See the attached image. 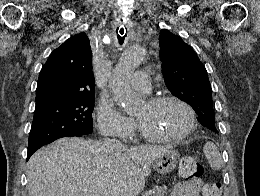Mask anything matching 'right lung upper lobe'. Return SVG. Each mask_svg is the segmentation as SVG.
Instances as JSON below:
<instances>
[{"label": "right lung upper lobe", "instance_id": "right-lung-upper-lobe-1", "mask_svg": "<svg viewBox=\"0 0 260 196\" xmlns=\"http://www.w3.org/2000/svg\"><path fill=\"white\" fill-rule=\"evenodd\" d=\"M91 47L82 32L55 49L43 66L36 89V106L56 98L94 93Z\"/></svg>", "mask_w": 260, "mask_h": 196}]
</instances>
